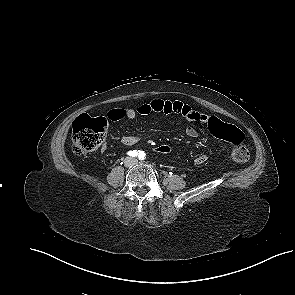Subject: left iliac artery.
I'll return each instance as SVG.
<instances>
[{"label":"left iliac artery","instance_id":"44dca946","mask_svg":"<svg viewBox=\"0 0 295 295\" xmlns=\"http://www.w3.org/2000/svg\"><path fill=\"white\" fill-rule=\"evenodd\" d=\"M138 157H139L140 160H144V159L146 158V154H145V152H144V151H140Z\"/></svg>","mask_w":295,"mask_h":295}]
</instances>
